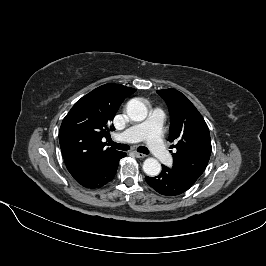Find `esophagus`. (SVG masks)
<instances>
[{
    "label": "esophagus",
    "instance_id": "34e87169",
    "mask_svg": "<svg viewBox=\"0 0 266 266\" xmlns=\"http://www.w3.org/2000/svg\"><path fill=\"white\" fill-rule=\"evenodd\" d=\"M134 155H135L137 158H145V157H146L145 154L140 153V152H134Z\"/></svg>",
    "mask_w": 266,
    "mask_h": 266
}]
</instances>
